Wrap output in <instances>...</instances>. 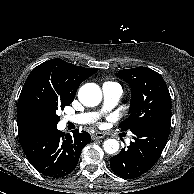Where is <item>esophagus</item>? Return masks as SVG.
Masks as SVG:
<instances>
[{
    "instance_id": "34e87169",
    "label": "esophagus",
    "mask_w": 194,
    "mask_h": 194,
    "mask_svg": "<svg viewBox=\"0 0 194 194\" xmlns=\"http://www.w3.org/2000/svg\"><path fill=\"white\" fill-rule=\"evenodd\" d=\"M104 136H105L104 133H102V132H96V133H93L91 135V138L93 140H95V139H102Z\"/></svg>"
}]
</instances>
